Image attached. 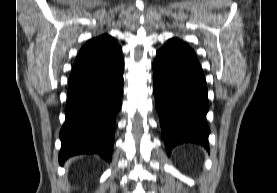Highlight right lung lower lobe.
Returning <instances> with one entry per match:
<instances>
[{
	"instance_id": "98d812e1",
	"label": "right lung lower lobe",
	"mask_w": 277,
	"mask_h": 193,
	"mask_svg": "<svg viewBox=\"0 0 277 193\" xmlns=\"http://www.w3.org/2000/svg\"><path fill=\"white\" fill-rule=\"evenodd\" d=\"M122 51L72 69L68 80L66 120L60 131L59 163L81 153L112 159L116 114L123 94Z\"/></svg>"
}]
</instances>
